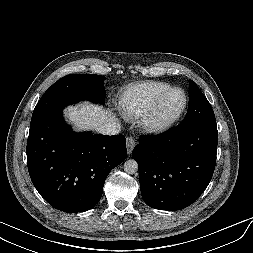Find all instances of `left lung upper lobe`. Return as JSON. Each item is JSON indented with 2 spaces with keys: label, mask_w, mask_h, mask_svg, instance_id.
I'll return each instance as SVG.
<instances>
[{
  "label": "left lung upper lobe",
  "mask_w": 253,
  "mask_h": 253,
  "mask_svg": "<svg viewBox=\"0 0 253 253\" xmlns=\"http://www.w3.org/2000/svg\"><path fill=\"white\" fill-rule=\"evenodd\" d=\"M189 95L188 111L180 126L186 128L207 121H215L212 107L192 80H189Z\"/></svg>",
  "instance_id": "left-lung-upper-lobe-1"
}]
</instances>
